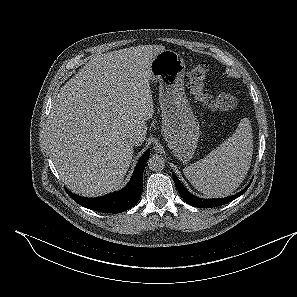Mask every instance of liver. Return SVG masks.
<instances>
[{
	"instance_id": "obj_1",
	"label": "liver",
	"mask_w": 297,
	"mask_h": 297,
	"mask_svg": "<svg viewBox=\"0 0 297 297\" xmlns=\"http://www.w3.org/2000/svg\"><path fill=\"white\" fill-rule=\"evenodd\" d=\"M164 50L139 45L94 56L56 96L49 121V149L64 184L98 197L123 182L133 157L128 138L147 134L154 114L150 64Z\"/></svg>"
}]
</instances>
